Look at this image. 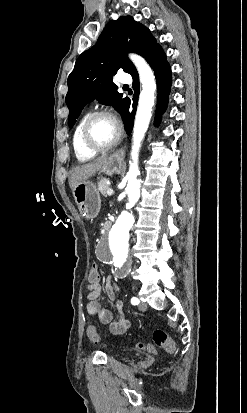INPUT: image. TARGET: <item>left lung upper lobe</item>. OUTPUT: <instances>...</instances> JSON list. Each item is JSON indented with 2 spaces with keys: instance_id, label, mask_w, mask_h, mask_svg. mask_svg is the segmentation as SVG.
I'll return each instance as SVG.
<instances>
[{
  "instance_id": "1",
  "label": "left lung upper lobe",
  "mask_w": 247,
  "mask_h": 413,
  "mask_svg": "<svg viewBox=\"0 0 247 413\" xmlns=\"http://www.w3.org/2000/svg\"><path fill=\"white\" fill-rule=\"evenodd\" d=\"M159 49L150 31L131 16L111 20L98 42L78 57L68 77L69 127H73L84 106L95 99L112 105L123 119L129 99L122 98L112 76L120 68L131 76L137 73L126 57L127 52L138 53L148 61Z\"/></svg>"
}]
</instances>
